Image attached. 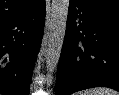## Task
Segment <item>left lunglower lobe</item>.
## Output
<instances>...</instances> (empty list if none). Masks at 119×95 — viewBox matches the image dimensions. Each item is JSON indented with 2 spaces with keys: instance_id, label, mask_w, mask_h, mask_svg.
Masks as SVG:
<instances>
[{
  "instance_id": "left-lung-lower-lobe-1",
  "label": "left lung lower lobe",
  "mask_w": 119,
  "mask_h": 95,
  "mask_svg": "<svg viewBox=\"0 0 119 95\" xmlns=\"http://www.w3.org/2000/svg\"><path fill=\"white\" fill-rule=\"evenodd\" d=\"M93 87L119 91V14L70 0L55 95Z\"/></svg>"
}]
</instances>
